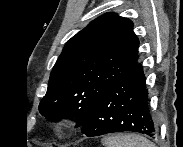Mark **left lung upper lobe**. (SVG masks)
Segmentation results:
<instances>
[{"instance_id":"left-lung-upper-lobe-1","label":"left lung upper lobe","mask_w":183,"mask_h":147,"mask_svg":"<svg viewBox=\"0 0 183 147\" xmlns=\"http://www.w3.org/2000/svg\"><path fill=\"white\" fill-rule=\"evenodd\" d=\"M139 40L130 20L107 13L65 45L39 104L48 120L82 126L104 92L138 62Z\"/></svg>"}]
</instances>
